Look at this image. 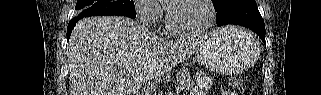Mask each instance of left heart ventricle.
<instances>
[{
  "instance_id": "b2bd125f",
  "label": "left heart ventricle",
  "mask_w": 321,
  "mask_h": 95,
  "mask_svg": "<svg viewBox=\"0 0 321 95\" xmlns=\"http://www.w3.org/2000/svg\"><path fill=\"white\" fill-rule=\"evenodd\" d=\"M171 17L176 28L195 31L207 24L209 12L202 1L191 0L174 5L171 8Z\"/></svg>"
}]
</instances>
